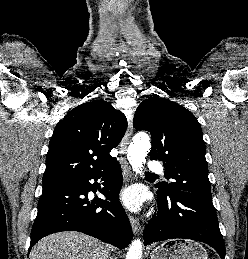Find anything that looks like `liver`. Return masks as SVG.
I'll return each mask as SVG.
<instances>
[{"mask_svg": "<svg viewBox=\"0 0 248 259\" xmlns=\"http://www.w3.org/2000/svg\"><path fill=\"white\" fill-rule=\"evenodd\" d=\"M109 247L83 233L50 234L37 242L29 259H108Z\"/></svg>", "mask_w": 248, "mask_h": 259, "instance_id": "liver-1", "label": "liver"}]
</instances>
